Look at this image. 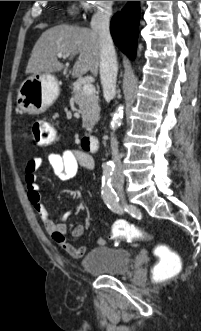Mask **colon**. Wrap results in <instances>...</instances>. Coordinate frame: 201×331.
Here are the masks:
<instances>
[{
	"label": "colon",
	"instance_id": "5ec220e1",
	"mask_svg": "<svg viewBox=\"0 0 201 331\" xmlns=\"http://www.w3.org/2000/svg\"><path fill=\"white\" fill-rule=\"evenodd\" d=\"M32 139L38 146H48L56 140V130L52 123L46 119L35 120L31 127ZM112 235L119 241H130L146 238L147 234L132 224L118 220L113 224ZM159 260L152 270L154 281L161 283L174 277L180 270V261L176 254L166 247H159L156 251Z\"/></svg>",
	"mask_w": 201,
	"mask_h": 331
}]
</instances>
